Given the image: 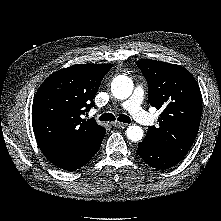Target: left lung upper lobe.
Masks as SVG:
<instances>
[{
	"mask_svg": "<svg viewBox=\"0 0 221 221\" xmlns=\"http://www.w3.org/2000/svg\"><path fill=\"white\" fill-rule=\"evenodd\" d=\"M136 64L148 82L151 106L162 109L159 125L149 127L144 141L185 156L197 136L201 120L199 85L180 65L150 59Z\"/></svg>",
	"mask_w": 221,
	"mask_h": 221,
	"instance_id": "1",
	"label": "left lung upper lobe"
}]
</instances>
